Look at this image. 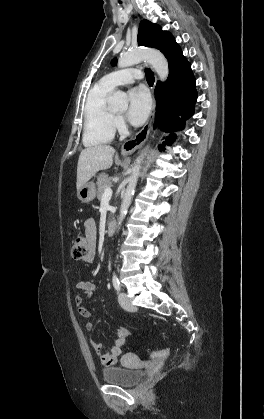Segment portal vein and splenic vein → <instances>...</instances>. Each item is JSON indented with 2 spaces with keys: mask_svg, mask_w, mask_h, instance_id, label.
<instances>
[{
  "mask_svg": "<svg viewBox=\"0 0 264 419\" xmlns=\"http://www.w3.org/2000/svg\"><path fill=\"white\" fill-rule=\"evenodd\" d=\"M112 189L110 187L106 188L102 198H110L112 196Z\"/></svg>",
  "mask_w": 264,
  "mask_h": 419,
  "instance_id": "1",
  "label": "portal vein and splenic vein"
}]
</instances>
